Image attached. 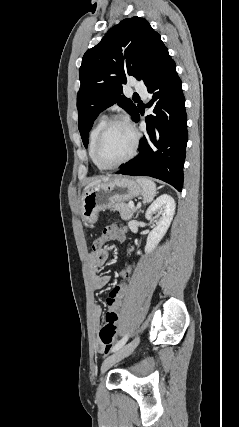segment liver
Listing matches in <instances>:
<instances>
[{
	"mask_svg": "<svg viewBox=\"0 0 239 427\" xmlns=\"http://www.w3.org/2000/svg\"><path fill=\"white\" fill-rule=\"evenodd\" d=\"M109 180H110V179H109V177H104V178H102V179L92 181L91 183H89V184L85 187V191H86V190H88V189H90L91 187H94V186H96V185L100 184L101 182L106 183V182H108Z\"/></svg>",
	"mask_w": 239,
	"mask_h": 427,
	"instance_id": "1",
	"label": "liver"
}]
</instances>
